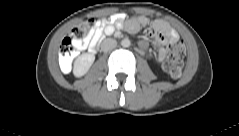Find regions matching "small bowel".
Masks as SVG:
<instances>
[{"instance_id": "1", "label": "small bowel", "mask_w": 239, "mask_h": 136, "mask_svg": "<svg viewBox=\"0 0 239 136\" xmlns=\"http://www.w3.org/2000/svg\"><path fill=\"white\" fill-rule=\"evenodd\" d=\"M150 25L152 28L151 36L159 42V49L156 55V61L163 63L167 57V42L173 43L179 41L178 33L163 19L150 20L146 16H136L126 19L122 13L115 14L108 20H103L91 31L90 35L84 40L78 42L76 50L83 51L91 47L102 35V33L111 34L115 29L125 27L130 33H137L142 27ZM145 45V43H143Z\"/></svg>"}]
</instances>
